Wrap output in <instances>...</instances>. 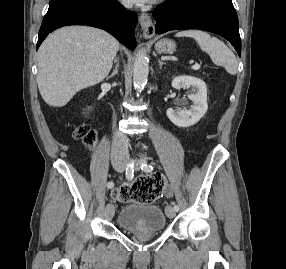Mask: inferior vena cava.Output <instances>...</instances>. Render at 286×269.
Instances as JSON below:
<instances>
[{"label":"inferior vena cava","mask_w":286,"mask_h":269,"mask_svg":"<svg viewBox=\"0 0 286 269\" xmlns=\"http://www.w3.org/2000/svg\"><path fill=\"white\" fill-rule=\"evenodd\" d=\"M128 144V137L125 134L121 132L115 133L111 151V156L114 161H127L129 158Z\"/></svg>","instance_id":"inferior-vena-cava-1"}]
</instances>
